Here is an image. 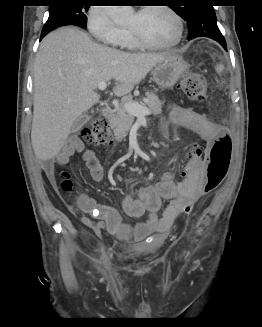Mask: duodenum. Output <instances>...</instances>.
Returning <instances> with one entry per match:
<instances>
[{
  "label": "duodenum",
  "instance_id": "410a0bca",
  "mask_svg": "<svg viewBox=\"0 0 262 327\" xmlns=\"http://www.w3.org/2000/svg\"><path fill=\"white\" fill-rule=\"evenodd\" d=\"M102 113L107 118H112L115 115V110L111 106H106L102 109Z\"/></svg>",
  "mask_w": 262,
  "mask_h": 327
}]
</instances>
